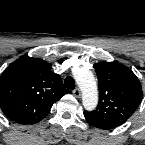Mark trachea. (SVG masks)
Masks as SVG:
<instances>
[{"label":"trachea","instance_id":"trachea-1","mask_svg":"<svg viewBox=\"0 0 145 145\" xmlns=\"http://www.w3.org/2000/svg\"><path fill=\"white\" fill-rule=\"evenodd\" d=\"M64 85L66 88L73 90L75 88V81L71 76L65 78Z\"/></svg>","mask_w":145,"mask_h":145}]
</instances>
